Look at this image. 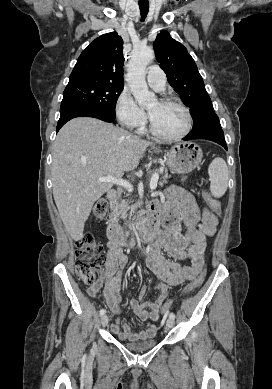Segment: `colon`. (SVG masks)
Returning <instances> with one entry per match:
<instances>
[{
    "instance_id": "colon-1",
    "label": "colon",
    "mask_w": 272,
    "mask_h": 389,
    "mask_svg": "<svg viewBox=\"0 0 272 389\" xmlns=\"http://www.w3.org/2000/svg\"><path fill=\"white\" fill-rule=\"evenodd\" d=\"M204 197L210 208L215 214L220 213L219 203L213 199L208 193H204ZM108 208V203L105 199L98 200L92 210V216L96 219H101L105 216ZM75 269L78 278L86 285H94L96 283V274L104 264L103 246L91 234L83 235L76 242L75 250ZM204 273H201L197 278L191 281L184 290V294H190L197 290L204 281ZM173 307V301L168 300L162 306V312L168 313Z\"/></svg>"
}]
</instances>
